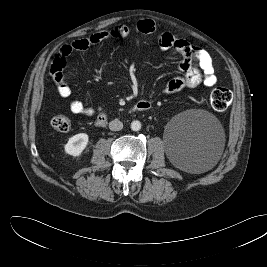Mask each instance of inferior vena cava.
Listing matches in <instances>:
<instances>
[{
  "label": "inferior vena cava",
  "instance_id": "1",
  "mask_svg": "<svg viewBox=\"0 0 267 267\" xmlns=\"http://www.w3.org/2000/svg\"><path fill=\"white\" fill-rule=\"evenodd\" d=\"M123 128V123L118 119H115L109 123V129L111 131H119Z\"/></svg>",
  "mask_w": 267,
  "mask_h": 267
}]
</instances>
